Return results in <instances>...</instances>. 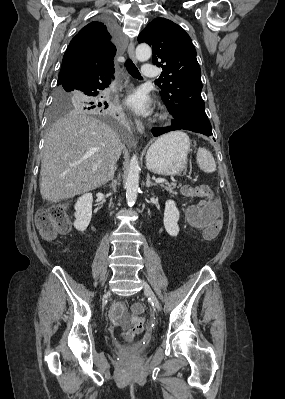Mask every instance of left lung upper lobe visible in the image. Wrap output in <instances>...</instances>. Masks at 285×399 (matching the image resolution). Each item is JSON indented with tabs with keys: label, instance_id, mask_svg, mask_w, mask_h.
I'll list each match as a JSON object with an SVG mask.
<instances>
[{
	"label": "left lung upper lobe",
	"instance_id": "1",
	"mask_svg": "<svg viewBox=\"0 0 285 399\" xmlns=\"http://www.w3.org/2000/svg\"><path fill=\"white\" fill-rule=\"evenodd\" d=\"M138 42L153 48L152 62L163 69L160 93L174 117L173 124L212 135L201 97V70L189 35L171 20L159 17L141 31Z\"/></svg>",
	"mask_w": 285,
	"mask_h": 399
}]
</instances>
